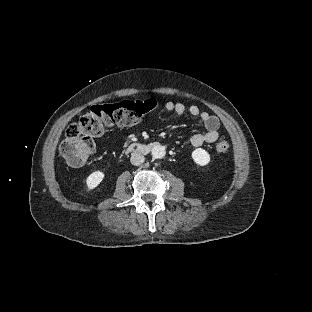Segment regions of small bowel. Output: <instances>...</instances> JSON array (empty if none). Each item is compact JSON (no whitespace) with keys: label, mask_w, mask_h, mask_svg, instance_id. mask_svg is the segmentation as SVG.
<instances>
[{"label":"small bowel","mask_w":312,"mask_h":312,"mask_svg":"<svg viewBox=\"0 0 312 312\" xmlns=\"http://www.w3.org/2000/svg\"><path fill=\"white\" fill-rule=\"evenodd\" d=\"M165 108L168 111L174 112L178 116H183L188 113L193 117H199L204 124L206 132L194 134L190 139L192 146L199 147L205 143H213L219 139L220 120L216 116L206 111H202L199 106L190 105L189 107H186L181 102L169 101L165 104Z\"/></svg>","instance_id":"obj_1"}]
</instances>
